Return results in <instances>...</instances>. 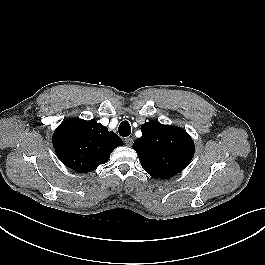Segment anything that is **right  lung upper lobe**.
Segmentation results:
<instances>
[{
    "instance_id": "1",
    "label": "right lung upper lobe",
    "mask_w": 265,
    "mask_h": 265,
    "mask_svg": "<svg viewBox=\"0 0 265 265\" xmlns=\"http://www.w3.org/2000/svg\"><path fill=\"white\" fill-rule=\"evenodd\" d=\"M122 145L116 133L95 120L67 119L53 134V146L61 161L80 173L107 163L111 152Z\"/></svg>"
}]
</instances>
